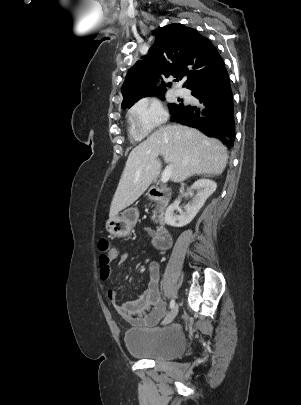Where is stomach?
Masks as SVG:
<instances>
[{"mask_svg":"<svg viewBox=\"0 0 301 405\" xmlns=\"http://www.w3.org/2000/svg\"><path fill=\"white\" fill-rule=\"evenodd\" d=\"M138 214L135 210L123 212L114 219H109L106 223V230L114 237H125L130 234L131 229L136 223Z\"/></svg>","mask_w":301,"mask_h":405,"instance_id":"1","label":"stomach"}]
</instances>
